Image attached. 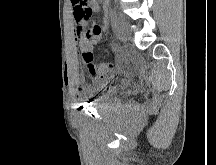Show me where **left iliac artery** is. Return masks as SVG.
Listing matches in <instances>:
<instances>
[{
    "label": "left iliac artery",
    "instance_id": "obj_1",
    "mask_svg": "<svg viewBox=\"0 0 216 165\" xmlns=\"http://www.w3.org/2000/svg\"><path fill=\"white\" fill-rule=\"evenodd\" d=\"M118 16L115 11L111 12V23L115 27Z\"/></svg>",
    "mask_w": 216,
    "mask_h": 165
}]
</instances>
